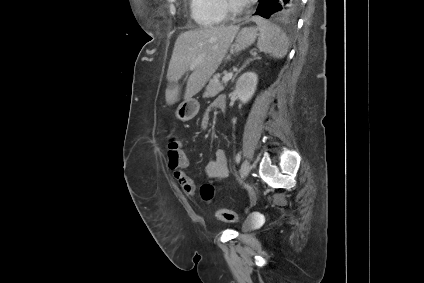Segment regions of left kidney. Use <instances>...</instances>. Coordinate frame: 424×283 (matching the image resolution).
<instances>
[{"label":"left kidney","mask_w":424,"mask_h":283,"mask_svg":"<svg viewBox=\"0 0 424 283\" xmlns=\"http://www.w3.org/2000/svg\"><path fill=\"white\" fill-rule=\"evenodd\" d=\"M258 83V77L253 72H246L241 75L235 86V93L237 98L246 104L253 97Z\"/></svg>","instance_id":"1"}]
</instances>
